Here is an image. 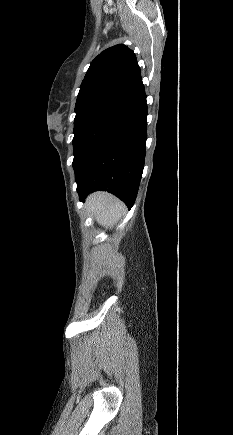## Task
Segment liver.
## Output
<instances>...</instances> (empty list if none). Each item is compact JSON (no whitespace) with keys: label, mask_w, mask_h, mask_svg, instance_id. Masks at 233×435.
<instances>
[{"label":"liver","mask_w":233,"mask_h":435,"mask_svg":"<svg viewBox=\"0 0 233 435\" xmlns=\"http://www.w3.org/2000/svg\"><path fill=\"white\" fill-rule=\"evenodd\" d=\"M98 224L113 227L126 212L125 205L107 192H97L89 196L86 202Z\"/></svg>","instance_id":"liver-1"}]
</instances>
